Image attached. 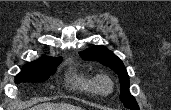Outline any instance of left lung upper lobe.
<instances>
[{
    "label": "left lung upper lobe",
    "mask_w": 171,
    "mask_h": 110,
    "mask_svg": "<svg viewBox=\"0 0 171 110\" xmlns=\"http://www.w3.org/2000/svg\"><path fill=\"white\" fill-rule=\"evenodd\" d=\"M83 59L98 61L111 69L119 75L120 79V100L126 108L131 110H139L136 100L129 92V76L122 61L113 52L109 51L104 46H94L88 50L80 53Z\"/></svg>",
    "instance_id": "obj_1"
}]
</instances>
